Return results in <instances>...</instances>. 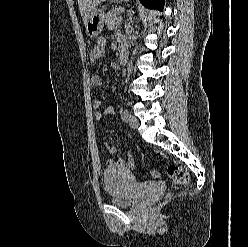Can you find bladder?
I'll list each match as a JSON object with an SVG mask.
<instances>
[{"mask_svg": "<svg viewBox=\"0 0 248 247\" xmlns=\"http://www.w3.org/2000/svg\"><path fill=\"white\" fill-rule=\"evenodd\" d=\"M103 182L110 202L116 206H133L141 199L137 195L138 183L129 169L119 166L106 169Z\"/></svg>", "mask_w": 248, "mask_h": 247, "instance_id": "1", "label": "bladder"}]
</instances>
